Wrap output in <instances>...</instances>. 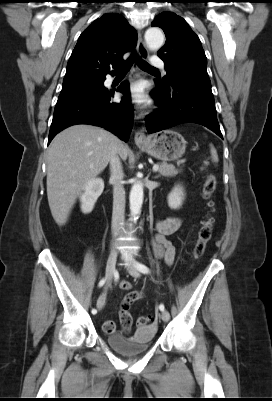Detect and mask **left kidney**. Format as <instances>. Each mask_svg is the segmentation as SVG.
<instances>
[{
  "instance_id": "left-kidney-1",
  "label": "left kidney",
  "mask_w": 272,
  "mask_h": 401,
  "mask_svg": "<svg viewBox=\"0 0 272 401\" xmlns=\"http://www.w3.org/2000/svg\"><path fill=\"white\" fill-rule=\"evenodd\" d=\"M168 205L171 209H178L184 200L183 188L179 185L175 186L168 195Z\"/></svg>"
}]
</instances>
